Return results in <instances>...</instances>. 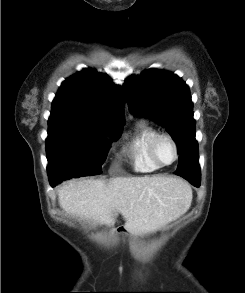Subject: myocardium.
Masks as SVG:
<instances>
[{"label": "myocardium", "instance_id": "obj_1", "mask_svg": "<svg viewBox=\"0 0 245 293\" xmlns=\"http://www.w3.org/2000/svg\"><path fill=\"white\" fill-rule=\"evenodd\" d=\"M161 140H168L172 147H173V150H174V157H173V160L169 163H163L159 157H158V153H157V146H158V143L161 141ZM150 155H151V158L153 159V161L160 167H168V166H171L173 165L179 158V145L178 143L176 142V140L168 133H162V132H159L157 133L152 141H151V145H150Z\"/></svg>", "mask_w": 245, "mask_h": 293}]
</instances>
